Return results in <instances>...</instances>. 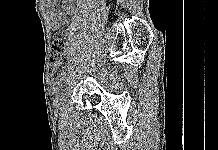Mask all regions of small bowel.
I'll return each instance as SVG.
<instances>
[{
  "mask_svg": "<svg viewBox=\"0 0 218 150\" xmlns=\"http://www.w3.org/2000/svg\"><path fill=\"white\" fill-rule=\"evenodd\" d=\"M57 2L58 0H47L53 29H58L62 24H66L74 11L73 0H64L62 10L56 12Z\"/></svg>",
  "mask_w": 218,
  "mask_h": 150,
  "instance_id": "small-bowel-1",
  "label": "small bowel"
}]
</instances>
